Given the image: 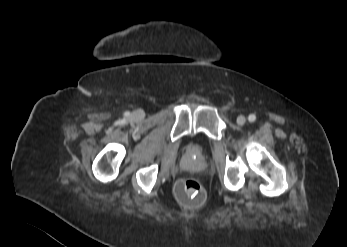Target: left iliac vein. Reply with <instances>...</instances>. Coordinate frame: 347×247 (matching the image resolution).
<instances>
[{"label":"left iliac vein","mask_w":347,"mask_h":247,"mask_svg":"<svg viewBox=\"0 0 347 247\" xmlns=\"http://www.w3.org/2000/svg\"><path fill=\"white\" fill-rule=\"evenodd\" d=\"M237 124L242 126L245 124L246 122V118L243 116V115H240L237 117V120H236Z\"/></svg>","instance_id":"obj_1"}]
</instances>
